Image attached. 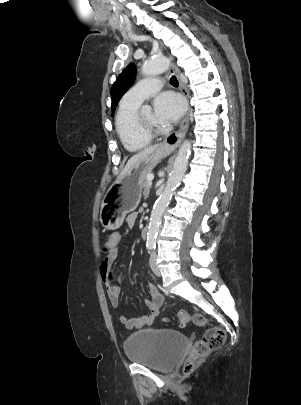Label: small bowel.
<instances>
[{"mask_svg": "<svg viewBox=\"0 0 301 405\" xmlns=\"http://www.w3.org/2000/svg\"><path fill=\"white\" fill-rule=\"evenodd\" d=\"M137 219V213L132 212L126 217V223L128 227H133ZM121 235L118 232H114L111 238L107 240L106 257L101 263L100 273L102 281L105 285V289L111 304L114 307L119 306L120 298L122 294V285L120 276L116 275L113 270V264L118 258ZM150 298L145 300V305L149 310V314L140 318H129L125 315L120 316V321L129 329H139L147 326H151L157 319L160 309L163 304V296L159 292L156 286H149Z\"/></svg>", "mask_w": 301, "mask_h": 405, "instance_id": "1", "label": "small bowel"}]
</instances>
